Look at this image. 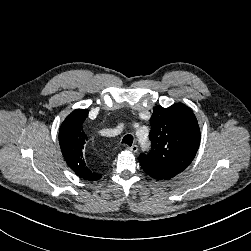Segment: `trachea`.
Masks as SVG:
<instances>
[{
    "mask_svg": "<svg viewBox=\"0 0 251 251\" xmlns=\"http://www.w3.org/2000/svg\"><path fill=\"white\" fill-rule=\"evenodd\" d=\"M122 143L131 146L132 143H133V136L132 135H126V136H124V138L122 139Z\"/></svg>",
    "mask_w": 251,
    "mask_h": 251,
    "instance_id": "3493384b",
    "label": "trachea"
}]
</instances>
